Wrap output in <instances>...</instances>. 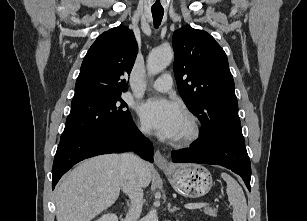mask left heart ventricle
Instances as JSON below:
<instances>
[{
  "instance_id": "obj_1",
  "label": "left heart ventricle",
  "mask_w": 307,
  "mask_h": 221,
  "mask_svg": "<svg viewBox=\"0 0 307 221\" xmlns=\"http://www.w3.org/2000/svg\"><path fill=\"white\" fill-rule=\"evenodd\" d=\"M188 131H189V123H188V121L184 117L183 121H182V124H181V127H180V130H179V133H178L176 138L185 135Z\"/></svg>"
}]
</instances>
